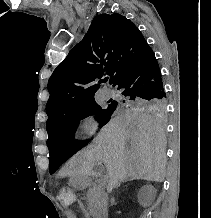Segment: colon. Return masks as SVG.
I'll list each match as a JSON object with an SVG mask.
<instances>
[{
    "instance_id": "obj_1",
    "label": "colon",
    "mask_w": 211,
    "mask_h": 218,
    "mask_svg": "<svg viewBox=\"0 0 211 218\" xmlns=\"http://www.w3.org/2000/svg\"><path fill=\"white\" fill-rule=\"evenodd\" d=\"M58 197L62 202L65 203L73 202L75 199L72 189L67 185L62 186L59 189Z\"/></svg>"
}]
</instances>
